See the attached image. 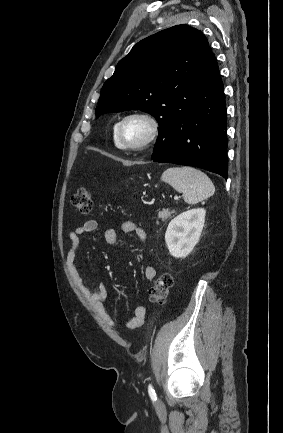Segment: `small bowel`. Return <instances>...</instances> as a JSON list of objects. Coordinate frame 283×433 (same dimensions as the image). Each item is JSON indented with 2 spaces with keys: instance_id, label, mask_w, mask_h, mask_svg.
Here are the masks:
<instances>
[{
  "instance_id": "small-bowel-1",
  "label": "small bowel",
  "mask_w": 283,
  "mask_h": 433,
  "mask_svg": "<svg viewBox=\"0 0 283 433\" xmlns=\"http://www.w3.org/2000/svg\"><path fill=\"white\" fill-rule=\"evenodd\" d=\"M99 228V224L95 220H89L85 222L82 226H79L74 231L68 234V241L70 244V249L66 257V264L68 271L73 279L78 290L83 294V296L90 303L94 311L111 327H116V322L107 312L104 300L107 298L108 288L105 283L101 282L98 284L95 290L91 289L89 285L80 275L76 267V257L77 251L80 246L81 238L86 234L93 232ZM121 230L125 234L135 232L138 239L144 242L147 239L146 231L137 227L132 221H126L122 224ZM104 240L109 245H115L118 241V234L114 229H106L104 231ZM145 278L148 281H153L156 277V269L152 266H147L144 270ZM146 308L143 305H138L134 309V315L126 323V328L129 331H135L139 329L145 319Z\"/></svg>"
}]
</instances>
